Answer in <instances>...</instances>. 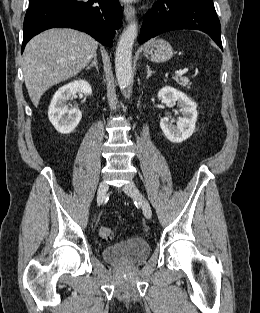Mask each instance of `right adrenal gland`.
Segmentation results:
<instances>
[{"label": "right adrenal gland", "instance_id": "2a0ac1e0", "mask_svg": "<svg viewBox=\"0 0 260 313\" xmlns=\"http://www.w3.org/2000/svg\"><path fill=\"white\" fill-rule=\"evenodd\" d=\"M92 67H96V69L99 70L98 64H97V54L94 55V60L86 67V69L88 70Z\"/></svg>", "mask_w": 260, "mask_h": 313}]
</instances>
